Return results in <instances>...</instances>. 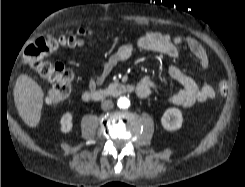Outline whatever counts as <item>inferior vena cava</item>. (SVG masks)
<instances>
[{
	"label": "inferior vena cava",
	"mask_w": 245,
	"mask_h": 187,
	"mask_svg": "<svg viewBox=\"0 0 245 187\" xmlns=\"http://www.w3.org/2000/svg\"><path fill=\"white\" fill-rule=\"evenodd\" d=\"M114 106L113 102L111 100H103L101 102V108L104 110V111H108L110 109H112Z\"/></svg>",
	"instance_id": "602c4592"
}]
</instances>
